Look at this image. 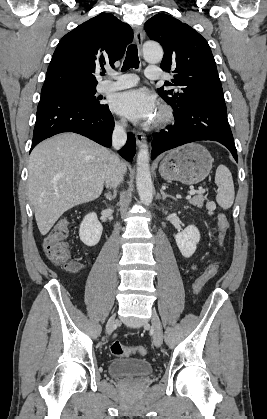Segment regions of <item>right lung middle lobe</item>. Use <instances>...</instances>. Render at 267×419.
Instances as JSON below:
<instances>
[{
  "label": "right lung middle lobe",
  "mask_w": 267,
  "mask_h": 419,
  "mask_svg": "<svg viewBox=\"0 0 267 419\" xmlns=\"http://www.w3.org/2000/svg\"><path fill=\"white\" fill-rule=\"evenodd\" d=\"M56 93L72 97L77 101H80L87 106L97 108L104 104L100 103L101 100L99 97L95 96L96 87H84L76 85L64 86L56 91Z\"/></svg>",
  "instance_id": "dd1d6c3e"
}]
</instances>
